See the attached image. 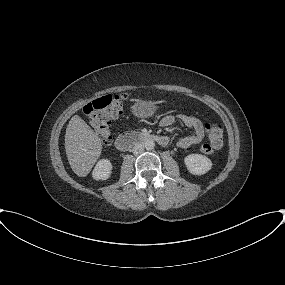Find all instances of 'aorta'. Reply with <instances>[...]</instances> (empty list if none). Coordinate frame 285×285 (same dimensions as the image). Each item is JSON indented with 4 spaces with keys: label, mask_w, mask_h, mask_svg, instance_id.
Here are the masks:
<instances>
[{
    "label": "aorta",
    "mask_w": 285,
    "mask_h": 285,
    "mask_svg": "<svg viewBox=\"0 0 285 285\" xmlns=\"http://www.w3.org/2000/svg\"><path fill=\"white\" fill-rule=\"evenodd\" d=\"M144 147L147 149V150H152V149H154V147H155V143H154V141L153 140H146L145 142H144Z\"/></svg>",
    "instance_id": "762f6f07"
}]
</instances>
